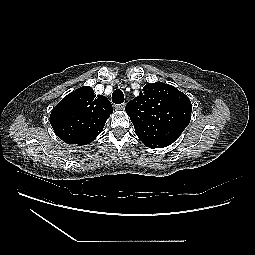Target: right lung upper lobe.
<instances>
[{
    "label": "right lung upper lobe",
    "mask_w": 255,
    "mask_h": 255,
    "mask_svg": "<svg viewBox=\"0 0 255 255\" xmlns=\"http://www.w3.org/2000/svg\"><path fill=\"white\" fill-rule=\"evenodd\" d=\"M112 112V105L105 96H96L91 87H81L53 108L50 123L64 142L86 145L102 132Z\"/></svg>",
    "instance_id": "right-lung-upper-lobe-1"
}]
</instances>
